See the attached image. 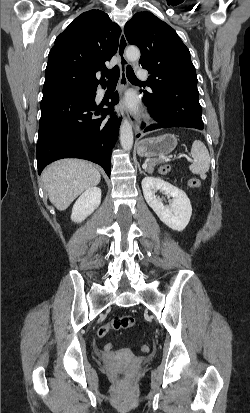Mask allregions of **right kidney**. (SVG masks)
<instances>
[{"label":"right kidney","instance_id":"obj_1","mask_svg":"<svg viewBox=\"0 0 250 413\" xmlns=\"http://www.w3.org/2000/svg\"><path fill=\"white\" fill-rule=\"evenodd\" d=\"M101 203V189L91 187L87 189L75 202L72 208L71 219L80 223L94 212Z\"/></svg>","mask_w":250,"mask_h":413}]
</instances>
